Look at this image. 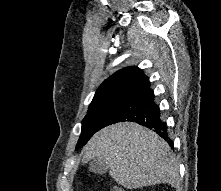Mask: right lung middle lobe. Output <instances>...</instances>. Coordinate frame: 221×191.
<instances>
[{
  "label": "right lung middle lobe",
  "instance_id": "obj_1",
  "mask_svg": "<svg viewBox=\"0 0 221 191\" xmlns=\"http://www.w3.org/2000/svg\"><path fill=\"white\" fill-rule=\"evenodd\" d=\"M119 100H112L89 106L88 112L82 121V131L76 149L84 146L92 135L100 130L104 119Z\"/></svg>",
  "mask_w": 221,
  "mask_h": 191
}]
</instances>
